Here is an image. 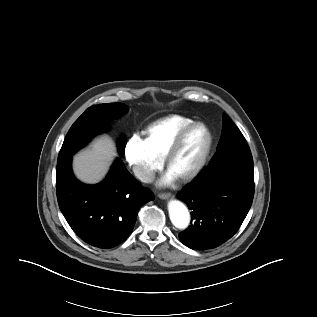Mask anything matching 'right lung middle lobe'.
<instances>
[{
  "label": "right lung middle lobe",
  "mask_w": 317,
  "mask_h": 317,
  "mask_svg": "<svg viewBox=\"0 0 317 317\" xmlns=\"http://www.w3.org/2000/svg\"><path fill=\"white\" fill-rule=\"evenodd\" d=\"M127 110L121 103L100 104L88 108L70 128L62 148L60 150L57 164L62 163L85 146L89 140L108 128L110 121ZM126 141L121 139L118 151L124 155Z\"/></svg>",
  "instance_id": "dd1d6c3e"
}]
</instances>
